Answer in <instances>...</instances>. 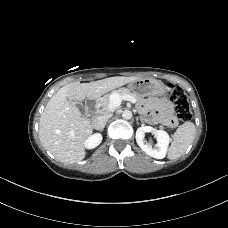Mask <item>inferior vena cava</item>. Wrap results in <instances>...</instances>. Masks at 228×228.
Instances as JSON below:
<instances>
[{
	"mask_svg": "<svg viewBox=\"0 0 228 228\" xmlns=\"http://www.w3.org/2000/svg\"><path fill=\"white\" fill-rule=\"evenodd\" d=\"M109 118H110L109 114L95 117L92 120L93 128H95L96 130H102L105 127V125H106V123H107Z\"/></svg>",
	"mask_w": 228,
	"mask_h": 228,
	"instance_id": "1",
	"label": "inferior vena cava"
}]
</instances>
